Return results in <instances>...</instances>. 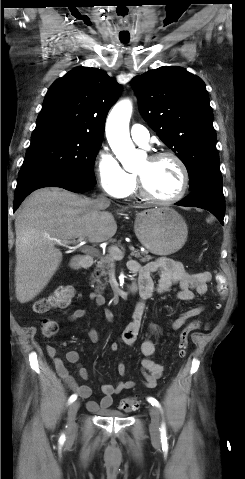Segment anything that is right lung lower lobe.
I'll return each instance as SVG.
<instances>
[{
  "label": "right lung lower lobe",
  "mask_w": 245,
  "mask_h": 479,
  "mask_svg": "<svg viewBox=\"0 0 245 479\" xmlns=\"http://www.w3.org/2000/svg\"><path fill=\"white\" fill-rule=\"evenodd\" d=\"M43 187H61L75 193H82L93 189L94 184L59 172H38L23 176L18 178L13 211L31 192Z\"/></svg>",
  "instance_id": "right-lung-lower-lobe-1"
}]
</instances>
